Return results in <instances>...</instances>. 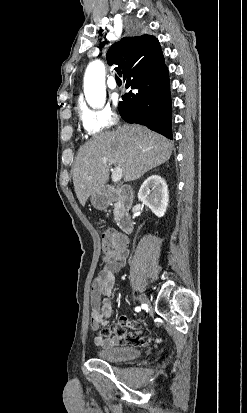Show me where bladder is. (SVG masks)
<instances>
[{"instance_id":"1","label":"bladder","mask_w":247,"mask_h":413,"mask_svg":"<svg viewBox=\"0 0 247 413\" xmlns=\"http://www.w3.org/2000/svg\"><path fill=\"white\" fill-rule=\"evenodd\" d=\"M142 350L138 347H118L112 349H98L96 357L106 361L127 362L129 360L139 359Z\"/></svg>"}]
</instances>
